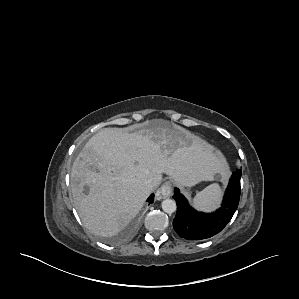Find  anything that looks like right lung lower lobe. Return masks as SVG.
Segmentation results:
<instances>
[{"mask_svg": "<svg viewBox=\"0 0 299 299\" xmlns=\"http://www.w3.org/2000/svg\"><path fill=\"white\" fill-rule=\"evenodd\" d=\"M149 203H152L154 201V194H151L150 197L147 199Z\"/></svg>", "mask_w": 299, "mask_h": 299, "instance_id": "obj_1", "label": "right lung lower lobe"}]
</instances>
